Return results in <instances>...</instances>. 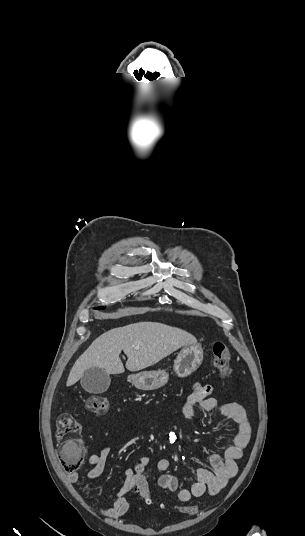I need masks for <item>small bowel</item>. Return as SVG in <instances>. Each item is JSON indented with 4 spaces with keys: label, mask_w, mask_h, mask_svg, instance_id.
<instances>
[{
    "label": "small bowel",
    "mask_w": 305,
    "mask_h": 536,
    "mask_svg": "<svg viewBox=\"0 0 305 536\" xmlns=\"http://www.w3.org/2000/svg\"><path fill=\"white\" fill-rule=\"evenodd\" d=\"M212 386L209 384L195 383L185 405L175 410L171 415H181L190 420L193 415V407L198 405L204 411H214L217 416L225 417L237 424L236 433L229 439V445L223 455L213 454L210 456L211 469H199L196 472V482L190 489L178 490V480L169 474L161 475L157 480V485L161 489L171 492L178 491L179 500H191L203 496L206 492L215 495L221 491L228 482L237 474L238 467L236 461L243 455L251 437V425L245 409L237 402H220L211 396ZM111 449L104 446L98 454H85L84 463L93 466L86 474L88 482L99 478L104 472ZM150 464L148 456H142L136 464L125 471V480L115 496L110 507H102L100 511L103 515L117 519L122 517L130 508V502L126 498L127 493L134 490L137 479H146L145 471ZM171 460L161 458L157 461L156 467L161 472H166L171 467ZM79 474L77 472L68 475V481L76 483Z\"/></svg>",
    "instance_id": "obj_1"
}]
</instances>
